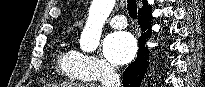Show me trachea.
I'll return each instance as SVG.
<instances>
[{"label":"trachea","instance_id":"trachea-1","mask_svg":"<svg viewBox=\"0 0 205 87\" xmlns=\"http://www.w3.org/2000/svg\"><path fill=\"white\" fill-rule=\"evenodd\" d=\"M127 8L129 16L133 19L137 18V4L136 0H127Z\"/></svg>","mask_w":205,"mask_h":87}]
</instances>
